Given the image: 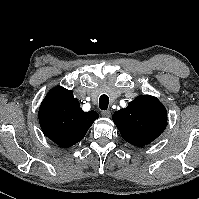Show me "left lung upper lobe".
<instances>
[{"label":"left lung upper lobe","mask_w":199,"mask_h":199,"mask_svg":"<svg viewBox=\"0 0 199 199\" xmlns=\"http://www.w3.org/2000/svg\"><path fill=\"white\" fill-rule=\"evenodd\" d=\"M112 118L124 140L144 145L155 140L167 125L164 105L150 95L138 96Z\"/></svg>","instance_id":"5c2ea615"}]
</instances>
